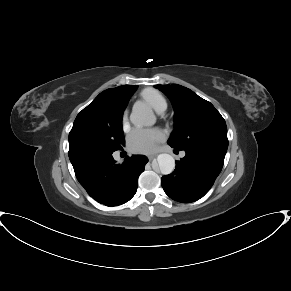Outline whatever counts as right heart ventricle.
<instances>
[{
    "label": "right heart ventricle",
    "instance_id": "e07e8e85",
    "mask_svg": "<svg viewBox=\"0 0 291 291\" xmlns=\"http://www.w3.org/2000/svg\"><path fill=\"white\" fill-rule=\"evenodd\" d=\"M141 97L158 112H163L166 109L164 97L155 89H144L141 93Z\"/></svg>",
    "mask_w": 291,
    "mask_h": 291
}]
</instances>
